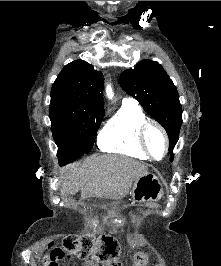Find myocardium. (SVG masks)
I'll list each match as a JSON object with an SVG mask.
<instances>
[{
    "label": "myocardium",
    "instance_id": "obj_1",
    "mask_svg": "<svg viewBox=\"0 0 221 266\" xmlns=\"http://www.w3.org/2000/svg\"><path fill=\"white\" fill-rule=\"evenodd\" d=\"M151 128L156 129L163 138L164 151H163V154L161 157L154 156L152 154L149 146H148L147 134ZM139 142H140L143 150L146 152V154L153 160L164 159L166 157L168 151H169L170 143H169V138H168L166 131L164 130V128L159 123H157L156 121H153V120H146L140 126V128H139Z\"/></svg>",
    "mask_w": 221,
    "mask_h": 266
}]
</instances>
